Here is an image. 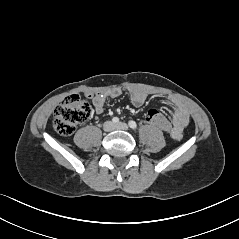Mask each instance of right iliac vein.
Listing matches in <instances>:
<instances>
[{"label": "right iliac vein", "instance_id": "63e3f726", "mask_svg": "<svg viewBox=\"0 0 239 239\" xmlns=\"http://www.w3.org/2000/svg\"><path fill=\"white\" fill-rule=\"evenodd\" d=\"M104 131L109 132L112 131L114 129V124L110 121L105 122L104 126H103Z\"/></svg>", "mask_w": 239, "mask_h": 239}]
</instances>
